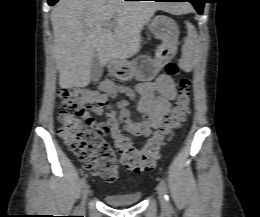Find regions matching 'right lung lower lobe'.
<instances>
[{
	"instance_id": "98d812e1",
	"label": "right lung lower lobe",
	"mask_w": 260,
	"mask_h": 217,
	"mask_svg": "<svg viewBox=\"0 0 260 217\" xmlns=\"http://www.w3.org/2000/svg\"><path fill=\"white\" fill-rule=\"evenodd\" d=\"M57 1H58V0H48V4H49L50 6H52V5H54ZM126 1H128V0H126Z\"/></svg>"
}]
</instances>
